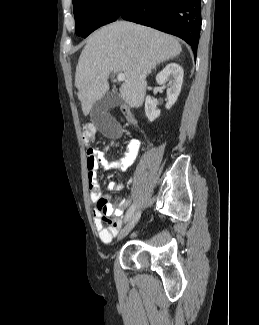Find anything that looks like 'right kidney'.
I'll return each instance as SVG.
<instances>
[{
  "instance_id": "1",
  "label": "right kidney",
  "mask_w": 259,
  "mask_h": 325,
  "mask_svg": "<svg viewBox=\"0 0 259 325\" xmlns=\"http://www.w3.org/2000/svg\"><path fill=\"white\" fill-rule=\"evenodd\" d=\"M184 71L182 67L177 63H169L163 68L156 77V82L159 85H165L169 77H172L169 88L167 89V103L166 109H170L178 99L183 83ZM156 101L147 96L145 100V114L150 122L154 121L160 115V110L156 107Z\"/></svg>"
}]
</instances>
